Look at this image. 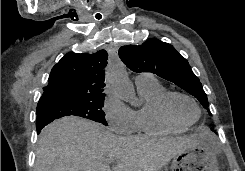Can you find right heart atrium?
<instances>
[{
    "instance_id": "right-heart-atrium-1",
    "label": "right heart atrium",
    "mask_w": 245,
    "mask_h": 171,
    "mask_svg": "<svg viewBox=\"0 0 245 171\" xmlns=\"http://www.w3.org/2000/svg\"><path fill=\"white\" fill-rule=\"evenodd\" d=\"M103 113L109 128L113 132L128 135L136 131L134 111L126 106L112 91H108L106 94Z\"/></svg>"
}]
</instances>
